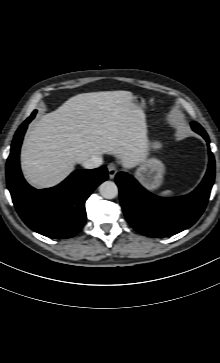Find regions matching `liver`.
I'll return each instance as SVG.
<instances>
[{"instance_id": "liver-1", "label": "liver", "mask_w": 220, "mask_h": 363, "mask_svg": "<svg viewBox=\"0 0 220 363\" xmlns=\"http://www.w3.org/2000/svg\"><path fill=\"white\" fill-rule=\"evenodd\" d=\"M148 147L143 109L129 91L78 94L33 123L21 150V167L36 188L62 182L76 163L110 154L126 168L139 165Z\"/></svg>"}]
</instances>
